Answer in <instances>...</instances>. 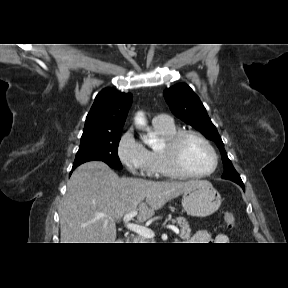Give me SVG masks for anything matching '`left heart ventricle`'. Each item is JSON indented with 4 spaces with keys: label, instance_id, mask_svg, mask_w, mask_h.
<instances>
[{
    "label": "left heart ventricle",
    "instance_id": "b2bd125f",
    "mask_svg": "<svg viewBox=\"0 0 288 288\" xmlns=\"http://www.w3.org/2000/svg\"><path fill=\"white\" fill-rule=\"evenodd\" d=\"M181 160L184 167L192 173H206L214 165V158L210 150L195 138H188L183 143Z\"/></svg>",
    "mask_w": 288,
    "mask_h": 288
}]
</instances>
